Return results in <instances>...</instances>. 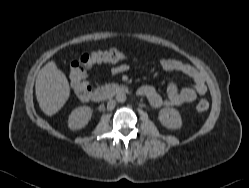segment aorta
I'll return each instance as SVG.
<instances>
[{
    "instance_id": "1",
    "label": "aorta",
    "mask_w": 249,
    "mask_h": 188,
    "mask_svg": "<svg viewBox=\"0 0 249 188\" xmlns=\"http://www.w3.org/2000/svg\"><path fill=\"white\" fill-rule=\"evenodd\" d=\"M127 97H126V94L124 92H120L116 95V100L119 102V103H124L126 101Z\"/></svg>"
}]
</instances>
